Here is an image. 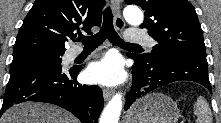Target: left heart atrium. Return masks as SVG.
I'll return each mask as SVG.
<instances>
[{"instance_id":"left-heart-atrium-1","label":"left heart atrium","mask_w":221,"mask_h":123,"mask_svg":"<svg viewBox=\"0 0 221 123\" xmlns=\"http://www.w3.org/2000/svg\"><path fill=\"white\" fill-rule=\"evenodd\" d=\"M123 77L124 71L121 60L112 55L92 63L86 71V78L89 82L103 85H114L120 82Z\"/></svg>"}]
</instances>
